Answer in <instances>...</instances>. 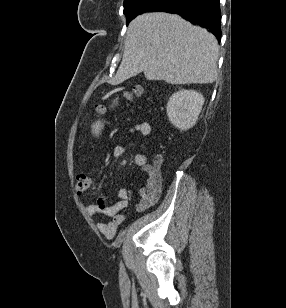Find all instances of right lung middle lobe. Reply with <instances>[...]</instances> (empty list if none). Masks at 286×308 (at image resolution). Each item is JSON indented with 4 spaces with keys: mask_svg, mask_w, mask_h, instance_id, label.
I'll return each instance as SVG.
<instances>
[{
    "mask_svg": "<svg viewBox=\"0 0 286 308\" xmlns=\"http://www.w3.org/2000/svg\"><path fill=\"white\" fill-rule=\"evenodd\" d=\"M168 0H124V14L127 25L137 15L153 11Z\"/></svg>",
    "mask_w": 286,
    "mask_h": 308,
    "instance_id": "obj_1",
    "label": "right lung middle lobe"
}]
</instances>
